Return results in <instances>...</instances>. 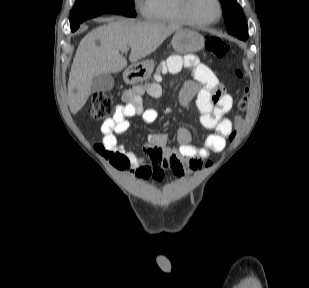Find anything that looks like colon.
I'll use <instances>...</instances> for the list:
<instances>
[{
    "mask_svg": "<svg viewBox=\"0 0 309 288\" xmlns=\"http://www.w3.org/2000/svg\"><path fill=\"white\" fill-rule=\"evenodd\" d=\"M206 48L216 57H224L229 52V44L218 38V37H207L206 38ZM235 75L237 78L242 79L243 73L240 69H235ZM250 94L248 88L244 90V93L237 104V109L240 112H244L249 105ZM117 106L115 105L112 98L106 93H96L92 98V104L90 108V116L93 119L101 120L110 117L115 114ZM243 123V117L241 114L235 115V128L229 135V140L232 142L235 140L237 131ZM97 149L105 151L106 156L112 164L118 165L125 160L124 156L119 153H107L103 144H98ZM212 165V162H207L206 167Z\"/></svg>",
    "mask_w": 309,
    "mask_h": 288,
    "instance_id": "1",
    "label": "colon"
}]
</instances>
